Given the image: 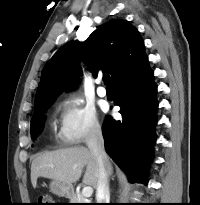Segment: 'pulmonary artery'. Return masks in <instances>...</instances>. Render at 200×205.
<instances>
[{"label":"pulmonary artery","mask_w":200,"mask_h":205,"mask_svg":"<svg viewBox=\"0 0 200 205\" xmlns=\"http://www.w3.org/2000/svg\"><path fill=\"white\" fill-rule=\"evenodd\" d=\"M97 94H98V96H100V97H106L107 91H106V89H105L104 87L99 86V87L97 88Z\"/></svg>","instance_id":"pulmonary-artery-1"}]
</instances>
